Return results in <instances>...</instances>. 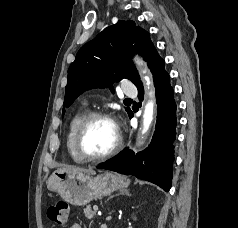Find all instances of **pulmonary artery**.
Masks as SVG:
<instances>
[{
    "instance_id": "e3ab8cb5",
    "label": "pulmonary artery",
    "mask_w": 238,
    "mask_h": 228,
    "mask_svg": "<svg viewBox=\"0 0 238 228\" xmlns=\"http://www.w3.org/2000/svg\"><path fill=\"white\" fill-rule=\"evenodd\" d=\"M123 92L125 95L131 96L137 93V89L133 84L126 82L123 86Z\"/></svg>"
}]
</instances>
